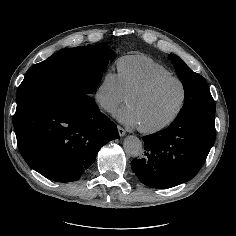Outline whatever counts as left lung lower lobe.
<instances>
[{
  "mask_svg": "<svg viewBox=\"0 0 236 236\" xmlns=\"http://www.w3.org/2000/svg\"><path fill=\"white\" fill-rule=\"evenodd\" d=\"M215 115L188 114L162 131L142 137L145 153L131 168L152 188H169L187 182L200 170L215 142Z\"/></svg>",
  "mask_w": 236,
  "mask_h": 236,
  "instance_id": "0a47b994",
  "label": "left lung lower lobe"
}]
</instances>
